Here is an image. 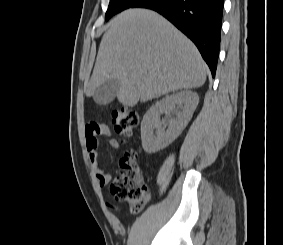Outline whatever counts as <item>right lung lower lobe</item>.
Here are the masks:
<instances>
[{
  "mask_svg": "<svg viewBox=\"0 0 283 245\" xmlns=\"http://www.w3.org/2000/svg\"><path fill=\"white\" fill-rule=\"evenodd\" d=\"M224 0H140L132 7L157 11L189 37L215 76Z\"/></svg>",
  "mask_w": 283,
  "mask_h": 245,
  "instance_id": "right-lung-lower-lobe-1",
  "label": "right lung lower lobe"
}]
</instances>
